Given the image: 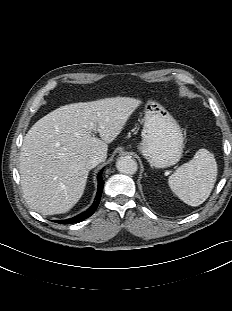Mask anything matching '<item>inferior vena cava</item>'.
<instances>
[{
  "mask_svg": "<svg viewBox=\"0 0 232 311\" xmlns=\"http://www.w3.org/2000/svg\"><path fill=\"white\" fill-rule=\"evenodd\" d=\"M103 161H104V158L102 156L94 155L86 161V168L91 170Z\"/></svg>",
  "mask_w": 232,
  "mask_h": 311,
  "instance_id": "obj_1",
  "label": "inferior vena cava"
}]
</instances>
